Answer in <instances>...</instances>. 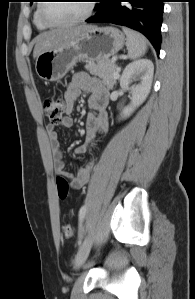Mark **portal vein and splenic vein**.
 Returning <instances> with one entry per match:
<instances>
[{
	"label": "portal vein and splenic vein",
	"instance_id": "1",
	"mask_svg": "<svg viewBox=\"0 0 195 299\" xmlns=\"http://www.w3.org/2000/svg\"><path fill=\"white\" fill-rule=\"evenodd\" d=\"M114 77H115V78H119V73H118V71H115V72H114Z\"/></svg>",
	"mask_w": 195,
	"mask_h": 299
}]
</instances>
